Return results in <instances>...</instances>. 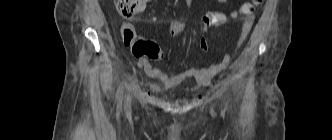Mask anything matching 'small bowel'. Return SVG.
<instances>
[{
  "instance_id": "small-bowel-1",
  "label": "small bowel",
  "mask_w": 332,
  "mask_h": 140,
  "mask_svg": "<svg viewBox=\"0 0 332 140\" xmlns=\"http://www.w3.org/2000/svg\"><path fill=\"white\" fill-rule=\"evenodd\" d=\"M193 0H186V4L189 8L192 6ZM220 4L226 3L228 0H216ZM253 25V17H248L242 24L241 32L237 40L236 49L244 42L248 36L251 27ZM199 47L202 51H207L209 48L208 41L205 37H202L199 41ZM232 58L231 53L224 55L223 60L219 64L205 66L199 69H188L178 74H168L155 68L151 65L148 59L142 58L138 62V66L145 72V74L152 79L160 80L163 86H159L156 83H149L148 87L153 93H160L162 89L169 90L176 86H179L188 79H194L196 81V88L207 86L211 80L221 71H223L230 63Z\"/></svg>"
}]
</instances>
